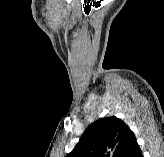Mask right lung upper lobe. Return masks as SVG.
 <instances>
[{
    "instance_id": "1",
    "label": "right lung upper lobe",
    "mask_w": 164,
    "mask_h": 157,
    "mask_svg": "<svg viewBox=\"0 0 164 157\" xmlns=\"http://www.w3.org/2000/svg\"><path fill=\"white\" fill-rule=\"evenodd\" d=\"M136 140L134 133L119 118H100L90 124L66 157H123Z\"/></svg>"
}]
</instances>
